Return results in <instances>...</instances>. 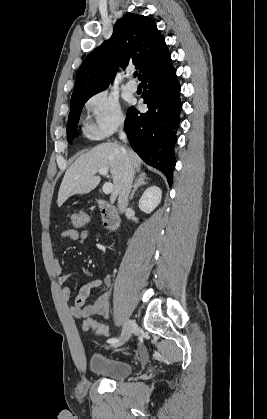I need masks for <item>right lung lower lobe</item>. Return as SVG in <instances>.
<instances>
[{"mask_svg": "<svg viewBox=\"0 0 267 419\" xmlns=\"http://www.w3.org/2000/svg\"><path fill=\"white\" fill-rule=\"evenodd\" d=\"M146 113L133 107L127 111L125 131L132 149L150 166L162 171L172 185L176 164L174 145L182 108L180 85L172 61L167 62L142 79Z\"/></svg>", "mask_w": 267, "mask_h": 419, "instance_id": "1", "label": "right lung lower lobe"}]
</instances>
